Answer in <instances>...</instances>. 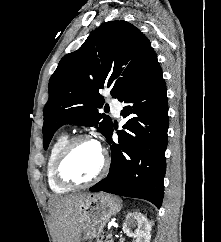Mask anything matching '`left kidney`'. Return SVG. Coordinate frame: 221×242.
I'll use <instances>...</instances> for the list:
<instances>
[{
	"label": "left kidney",
	"instance_id": "1",
	"mask_svg": "<svg viewBox=\"0 0 221 242\" xmlns=\"http://www.w3.org/2000/svg\"><path fill=\"white\" fill-rule=\"evenodd\" d=\"M136 226L137 229L133 231L132 228ZM122 229L127 236L136 238L135 242H150L151 223L140 212L128 213Z\"/></svg>",
	"mask_w": 221,
	"mask_h": 242
}]
</instances>
